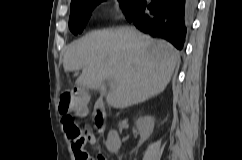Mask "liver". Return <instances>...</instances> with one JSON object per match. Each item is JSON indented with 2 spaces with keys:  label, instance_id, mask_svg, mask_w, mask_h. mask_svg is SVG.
<instances>
[{
  "label": "liver",
  "instance_id": "1",
  "mask_svg": "<svg viewBox=\"0 0 242 160\" xmlns=\"http://www.w3.org/2000/svg\"><path fill=\"white\" fill-rule=\"evenodd\" d=\"M179 60L170 43L123 27L94 31L73 42L64 54L63 67L65 72L82 69L76 83L93 90L112 78L115 84L106 101L123 109L163 92Z\"/></svg>",
  "mask_w": 242,
  "mask_h": 160
}]
</instances>
